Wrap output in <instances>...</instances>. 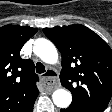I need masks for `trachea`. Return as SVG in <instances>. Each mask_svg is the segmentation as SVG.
Returning a JSON list of instances; mask_svg holds the SVG:
<instances>
[{
	"mask_svg": "<svg viewBox=\"0 0 112 112\" xmlns=\"http://www.w3.org/2000/svg\"><path fill=\"white\" fill-rule=\"evenodd\" d=\"M36 72L39 73V74L45 72V67H44V65L41 62H38L36 64Z\"/></svg>",
	"mask_w": 112,
	"mask_h": 112,
	"instance_id": "1",
	"label": "trachea"
}]
</instances>
